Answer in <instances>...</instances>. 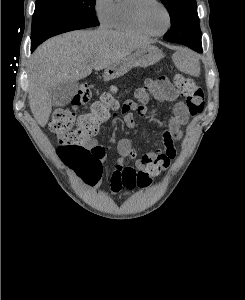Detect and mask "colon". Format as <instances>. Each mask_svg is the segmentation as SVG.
Returning a JSON list of instances; mask_svg holds the SVG:
<instances>
[{
    "instance_id": "colon-1",
    "label": "colon",
    "mask_w": 245,
    "mask_h": 300,
    "mask_svg": "<svg viewBox=\"0 0 245 300\" xmlns=\"http://www.w3.org/2000/svg\"><path fill=\"white\" fill-rule=\"evenodd\" d=\"M174 82L180 93L186 98L188 111L192 116L200 114L205 105L204 91L188 77L177 74ZM91 97L87 84H81L72 98L70 105L58 108L52 117L50 128L58 137L57 154L79 176L89 184H94L101 174L99 153L87 147L99 131L102 123L107 121L117 108L116 91L104 93L100 101L92 105L91 111L76 117L75 109L86 104ZM149 175L137 176L136 185L146 187L150 184Z\"/></svg>"
}]
</instances>
